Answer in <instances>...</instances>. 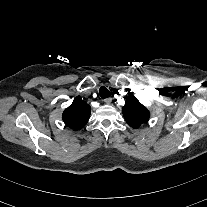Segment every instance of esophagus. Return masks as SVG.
I'll use <instances>...</instances> for the list:
<instances>
[{
  "instance_id": "obj_1",
  "label": "esophagus",
  "mask_w": 207,
  "mask_h": 207,
  "mask_svg": "<svg viewBox=\"0 0 207 207\" xmlns=\"http://www.w3.org/2000/svg\"><path fill=\"white\" fill-rule=\"evenodd\" d=\"M111 101H112V98H111V97H107V98L104 99V102H105L106 104H110Z\"/></svg>"
}]
</instances>
